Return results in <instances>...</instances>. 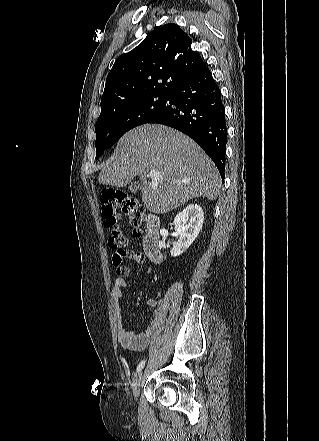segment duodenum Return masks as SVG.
I'll use <instances>...</instances> for the list:
<instances>
[{
  "label": "duodenum",
  "mask_w": 319,
  "mask_h": 441,
  "mask_svg": "<svg viewBox=\"0 0 319 441\" xmlns=\"http://www.w3.org/2000/svg\"><path fill=\"white\" fill-rule=\"evenodd\" d=\"M160 221L156 215L147 216V231L143 241V248L146 256L153 262L162 261L163 255L159 247L160 243Z\"/></svg>",
  "instance_id": "duodenum-1"
}]
</instances>
